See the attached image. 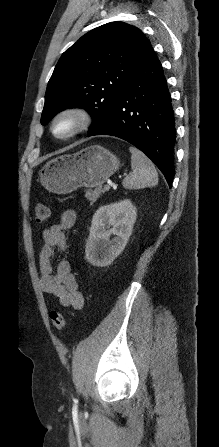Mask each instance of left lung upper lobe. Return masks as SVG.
<instances>
[{"label": "left lung upper lobe", "mask_w": 219, "mask_h": 447, "mask_svg": "<svg viewBox=\"0 0 219 447\" xmlns=\"http://www.w3.org/2000/svg\"><path fill=\"white\" fill-rule=\"evenodd\" d=\"M150 42L138 28L111 22L85 34L66 50L48 82L41 123L58 112L85 108L96 128L106 117Z\"/></svg>", "instance_id": "obj_1"}]
</instances>
